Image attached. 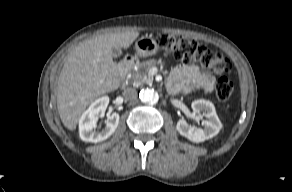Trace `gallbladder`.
<instances>
[{
    "mask_svg": "<svg viewBox=\"0 0 292 192\" xmlns=\"http://www.w3.org/2000/svg\"><path fill=\"white\" fill-rule=\"evenodd\" d=\"M121 54H122V51H121L120 48H113L112 49V56L114 58H117V57L121 56Z\"/></svg>",
    "mask_w": 292,
    "mask_h": 192,
    "instance_id": "bac80fb5",
    "label": "gallbladder"
}]
</instances>
